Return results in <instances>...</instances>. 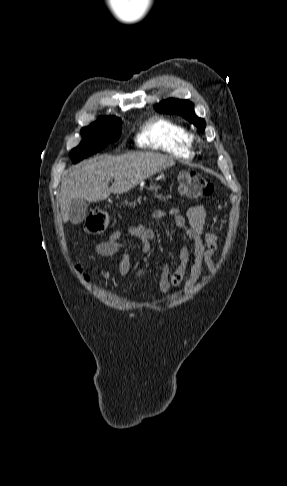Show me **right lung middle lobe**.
I'll list each match as a JSON object with an SVG mask.
<instances>
[{
  "mask_svg": "<svg viewBox=\"0 0 287 486\" xmlns=\"http://www.w3.org/2000/svg\"><path fill=\"white\" fill-rule=\"evenodd\" d=\"M121 119L112 116L101 117L90 126L82 128L83 140L70 152L73 163L102 150L108 143L115 142L121 134Z\"/></svg>",
  "mask_w": 287,
  "mask_h": 486,
  "instance_id": "dd1d6c3e",
  "label": "right lung middle lobe"
}]
</instances>
